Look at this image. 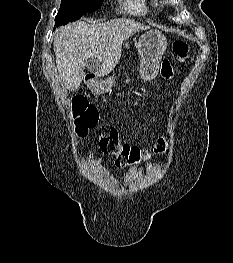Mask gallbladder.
I'll list each match as a JSON object with an SVG mask.
<instances>
[{"label": "gallbladder", "instance_id": "gallbladder-1", "mask_svg": "<svg viewBox=\"0 0 233 263\" xmlns=\"http://www.w3.org/2000/svg\"><path fill=\"white\" fill-rule=\"evenodd\" d=\"M87 68H88V70H90V71L93 70L92 62H91V61L87 64Z\"/></svg>", "mask_w": 233, "mask_h": 263}]
</instances>
